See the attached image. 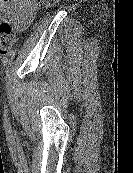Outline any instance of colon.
Masks as SVG:
<instances>
[{"instance_id":"1","label":"colon","mask_w":133,"mask_h":173,"mask_svg":"<svg viewBox=\"0 0 133 173\" xmlns=\"http://www.w3.org/2000/svg\"><path fill=\"white\" fill-rule=\"evenodd\" d=\"M59 0H37L40 7H49ZM15 35L8 20L0 19V53L6 54L15 44Z\"/></svg>"}]
</instances>
